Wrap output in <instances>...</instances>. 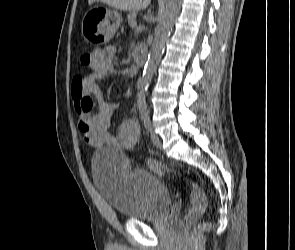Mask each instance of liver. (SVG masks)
<instances>
[{"instance_id": "obj_1", "label": "liver", "mask_w": 295, "mask_h": 250, "mask_svg": "<svg viewBox=\"0 0 295 250\" xmlns=\"http://www.w3.org/2000/svg\"><path fill=\"white\" fill-rule=\"evenodd\" d=\"M88 2L89 4L102 2L117 10L135 12L146 9L151 0H89Z\"/></svg>"}]
</instances>
